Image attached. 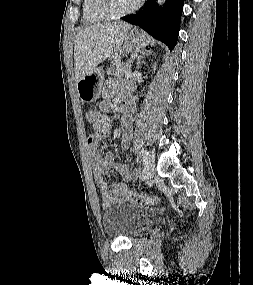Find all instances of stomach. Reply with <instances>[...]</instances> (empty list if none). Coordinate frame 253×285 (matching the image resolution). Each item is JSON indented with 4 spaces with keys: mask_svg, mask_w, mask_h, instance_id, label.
<instances>
[{
    "mask_svg": "<svg viewBox=\"0 0 253 285\" xmlns=\"http://www.w3.org/2000/svg\"><path fill=\"white\" fill-rule=\"evenodd\" d=\"M147 37L136 29L126 33L124 42L120 48L121 53H137L148 45ZM104 73L101 68L96 67L77 82L78 97L82 102L90 103L100 97Z\"/></svg>",
    "mask_w": 253,
    "mask_h": 285,
    "instance_id": "0dacf381",
    "label": "stomach"
}]
</instances>
